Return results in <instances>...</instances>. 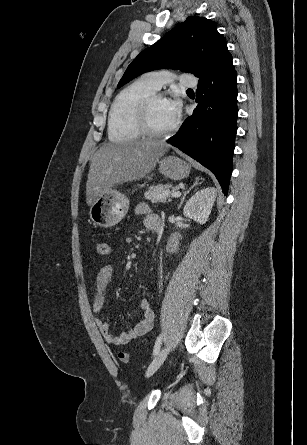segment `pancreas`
Returning <instances> with one entry per match:
<instances>
[{"mask_svg":"<svg viewBox=\"0 0 307 445\" xmlns=\"http://www.w3.org/2000/svg\"><path fill=\"white\" fill-rule=\"evenodd\" d=\"M170 190L171 192H178L179 186H172V184H155V186H150L149 190L144 192L145 198H149L151 202H170L171 198H163L160 194H163L164 190Z\"/></svg>","mask_w":307,"mask_h":445,"instance_id":"pancreas-1","label":"pancreas"}]
</instances>
